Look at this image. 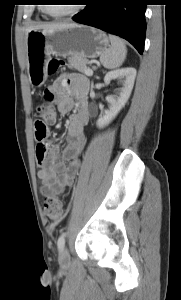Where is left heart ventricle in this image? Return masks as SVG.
I'll list each match as a JSON object with an SVG mask.
<instances>
[{"label": "left heart ventricle", "instance_id": "obj_1", "mask_svg": "<svg viewBox=\"0 0 181 300\" xmlns=\"http://www.w3.org/2000/svg\"><path fill=\"white\" fill-rule=\"evenodd\" d=\"M53 3H62L64 5H50L48 6L49 10L55 14H60L71 10L74 6L70 5L73 1H65V0H51Z\"/></svg>", "mask_w": 181, "mask_h": 300}]
</instances>
